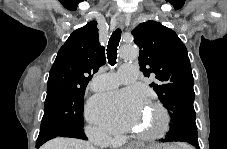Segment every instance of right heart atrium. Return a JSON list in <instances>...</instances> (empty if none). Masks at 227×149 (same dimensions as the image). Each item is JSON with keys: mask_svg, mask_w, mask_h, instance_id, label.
<instances>
[{"mask_svg": "<svg viewBox=\"0 0 227 149\" xmlns=\"http://www.w3.org/2000/svg\"><path fill=\"white\" fill-rule=\"evenodd\" d=\"M87 136L98 145H105L109 143V137L107 134L97 126L86 127Z\"/></svg>", "mask_w": 227, "mask_h": 149, "instance_id": "obj_1", "label": "right heart atrium"}]
</instances>
